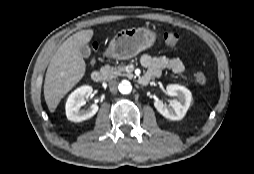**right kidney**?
<instances>
[{"instance_id": "right-kidney-1", "label": "right kidney", "mask_w": 254, "mask_h": 174, "mask_svg": "<svg viewBox=\"0 0 254 174\" xmlns=\"http://www.w3.org/2000/svg\"><path fill=\"white\" fill-rule=\"evenodd\" d=\"M93 92L91 86L84 85L74 90L68 97L65 109L68 120L73 122H81L94 116L99 107L92 104L89 109L82 110L81 107L85 104V98H88Z\"/></svg>"}]
</instances>
